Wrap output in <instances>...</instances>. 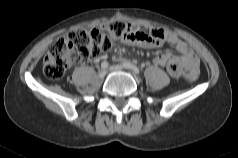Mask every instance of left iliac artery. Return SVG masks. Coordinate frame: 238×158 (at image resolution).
Returning a JSON list of instances; mask_svg holds the SVG:
<instances>
[{
  "label": "left iliac artery",
  "mask_w": 238,
  "mask_h": 158,
  "mask_svg": "<svg viewBox=\"0 0 238 158\" xmlns=\"http://www.w3.org/2000/svg\"><path fill=\"white\" fill-rule=\"evenodd\" d=\"M122 65H123L124 68L132 70L135 74H139L140 73L138 67L133 65L130 62H124Z\"/></svg>",
  "instance_id": "44dca946"
}]
</instances>
